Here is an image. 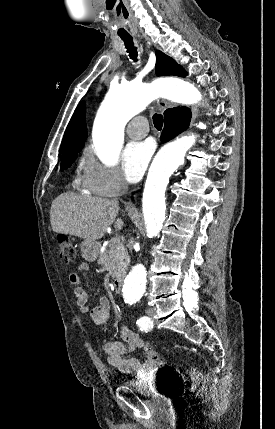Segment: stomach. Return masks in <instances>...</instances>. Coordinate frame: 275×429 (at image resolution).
I'll use <instances>...</instances> for the list:
<instances>
[{
    "instance_id": "stomach-1",
    "label": "stomach",
    "mask_w": 275,
    "mask_h": 429,
    "mask_svg": "<svg viewBox=\"0 0 275 429\" xmlns=\"http://www.w3.org/2000/svg\"><path fill=\"white\" fill-rule=\"evenodd\" d=\"M99 247V242L85 239L81 243L82 256L89 262L95 261L99 253Z\"/></svg>"
}]
</instances>
